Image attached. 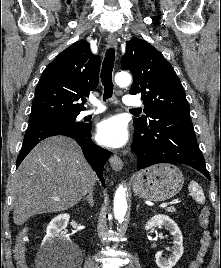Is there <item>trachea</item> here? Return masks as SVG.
<instances>
[{
  "label": "trachea",
  "mask_w": 221,
  "mask_h": 268,
  "mask_svg": "<svg viewBox=\"0 0 221 268\" xmlns=\"http://www.w3.org/2000/svg\"><path fill=\"white\" fill-rule=\"evenodd\" d=\"M115 61V52L113 48L107 49L105 58L102 65L100 74L102 85L104 86L103 99L107 100L113 95V82H112V71ZM131 111H138V109H131Z\"/></svg>",
  "instance_id": "1"
}]
</instances>
